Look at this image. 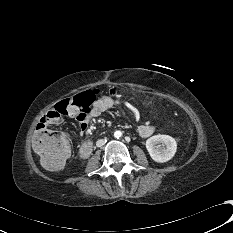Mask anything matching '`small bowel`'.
<instances>
[{
    "mask_svg": "<svg viewBox=\"0 0 233 233\" xmlns=\"http://www.w3.org/2000/svg\"><path fill=\"white\" fill-rule=\"evenodd\" d=\"M121 93L118 88L112 87L107 90L106 96H102L97 99L91 106L88 111L81 112L74 108H65L64 112L61 111L59 105L50 109L39 121L38 126L47 128L50 125L59 124L62 120V116L66 115L68 117L74 118L79 124V132L82 134L88 129L89 122L103 114L104 112L116 107L119 105ZM159 130V127L156 125H142L138 128V134L147 138ZM95 142L92 139L83 142L79 146V151L83 155H88L92 151Z\"/></svg>",
    "mask_w": 233,
    "mask_h": 233,
    "instance_id": "small-bowel-1",
    "label": "small bowel"
}]
</instances>
